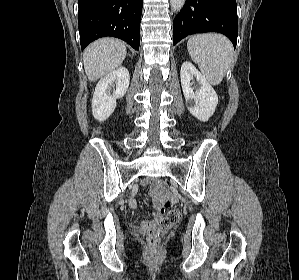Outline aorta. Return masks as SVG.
I'll return each instance as SVG.
<instances>
[{
	"label": "aorta",
	"instance_id": "obj_1",
	"mask_svg": "<svg viewBox=\"0 0 299 280\" xmlns=\"http://www.w3.org/2000/svg\"><path fill=\"white\" fill-rule=\"evenodd\" d=\"M185 1L186 0H170L172 10L179 12L183 8Z\"/></svg>",
	"mask_w": 299,
	"mask_h": 280
}]
</instances>
